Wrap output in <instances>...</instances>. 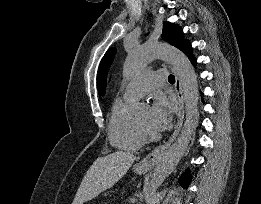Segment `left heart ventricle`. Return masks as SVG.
<instances>
[{
  "instance_id": "obj_1",
  "label": "left heart ventricle",
  "mask_w": 261,
  "mask_h": 204,
  "mask_svg": "<svg viewBox=\"0 0 261 204\" xmlns=\"http://www.w3.org/2000/svg\"><path fill=\"white\" fill-rule=\"evenodd\" d=\"M138 120L148 129L154 130L151 125V110L146 109L140 116L138 117Z\"/></svg>"
}]
</instances>
